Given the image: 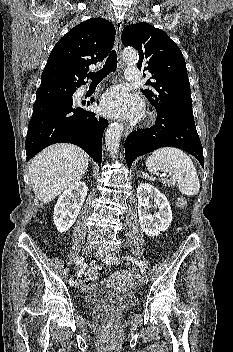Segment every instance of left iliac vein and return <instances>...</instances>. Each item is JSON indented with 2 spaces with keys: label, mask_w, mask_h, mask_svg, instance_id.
Masks as SVG:
<instances>
[{
  "label": "left iliac vein",
  "mask_w": 233,
  "mask_h": 352,
  "mask_svg": "<svg viewBox=\"0 0 233 352\" xmlns=\"http://www.w3.org/2000/svg\"><path fill=\"white\" fill-rule=\"evenodd\" d=\"M96 256L99 257V258H102L104 260H106V258L108 256H111V251L109 249H98L96 251ZM147 282V276L146 275H142L140 277V283L141 284H145Z\"/></svg>",
  "instance_id": "obj_1"
}]
</instances>
